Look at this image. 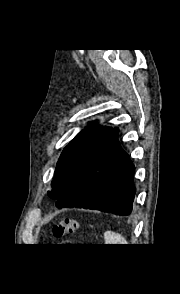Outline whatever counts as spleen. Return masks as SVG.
Listing matches in <instances>:
<instances>
[{
    "label": "spleen",
    "mask_w": 180,
    "mask_h": 294,
    "mask_svg": "<svg viewBox=\"0 0 180 294\" xmlns=\"http://www.w3.org/2000/svg\"><path fill=\"white\" fill-rule=\"evenodd\" d=\"M104 239L106 244H127L126 239L122 235L112 231H106Z\"/></svg>",
    "instance_id": "obj_1"
}]
</instances>
